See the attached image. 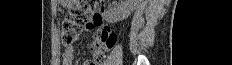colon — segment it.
Listing matches in <instances>:
<instances>
[{"instance_id":"1","label":"colon","mask_w":232,"mask_h":65,"mask_svg":"<svg viewBox=\"0 0 232 65\" xmlns=\"http://www.w3.org/2000/svg\"><path fill=\"white\" fill-rule=\"evenodd\" d=\"M96 0H78L69 10L62 27V42L69 46L78 40L83 25L98 5ZM116 42L115 34L111 33L106 38L95 37L93 43L94 59L92 62H104L107 50Z\"/></svg>"}]
</instances>
